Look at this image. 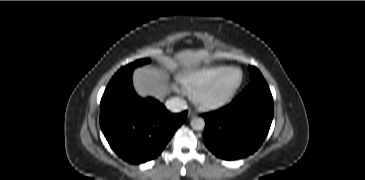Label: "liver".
Wrapping results in <instances>:
<instances>
[{
  "label": "liver",
  "instance_id": "1",
  "mask_svg": "<svg viewBox=\"0 0 365 180\" xmlns=\"http://www.w3.org/2000/svg\"><path fill=\"white\" fill-rule=\"evenodd\" d=\"M209 56V52L206 50H183L172 58L164 57L162 61L167 68L182 66L186 70H191L202 61H208ZM167 79L164 71L150 67L138 68L133 75V83L137 93L143 97L153 96L157 99H163L170 91Z\"/></svg>",
  "mask_w": 365,
  "mask_h": 180
}]
</instances>
